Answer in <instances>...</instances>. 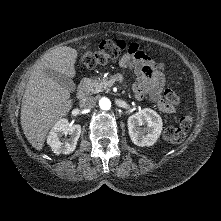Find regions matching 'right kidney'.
I'll return each instance as SVG.
<instances>
[{
  "instance_id": "1",
  "label": "right kidney",
  "mask_w": 221,
  "mask_h": 221,
  "mask_svg": "<svg viewBox=\"0 0 221 221\" xmlns=\"http://www.w3.org/2000/svg\"><path fill=\"white\" fill-rule=\"evenodd\" d=\"M68 134L70 138H63V136ZM80 134V125H73L70 124L67 119H61L53 126L47 137V143L51 150L57 155L61 153L70 154L75 150Z\"/></svg>"
}]
</instances>
